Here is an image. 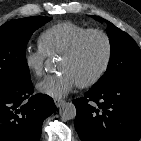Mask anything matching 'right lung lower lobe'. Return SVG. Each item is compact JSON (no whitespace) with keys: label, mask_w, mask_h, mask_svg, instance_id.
<instances>
[{"label":"right lung lower lobe","mask_w":141,"mask_h":141,"mask_svg":"<svg viewBox=\"0 0 141 141\" xmlns=\"http://www.w3.org/2000/svg\"><path fill=\"white\" fill-rule=\"evenodd\" d=\"M32 94L31 80L0 84V141H39L42 123L56 106L50 96Z\"/></svg>","instance_id":"obj_1"}]
</instances>
